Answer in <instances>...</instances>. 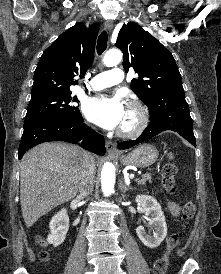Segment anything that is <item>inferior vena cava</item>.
I'll use <instances>...</instances> for the list:
<instances>
[{"label":"inferior vena cava","instance_id":"inferior-vena-cava-1","mask_svg":"<svg viewBox=\"0 0 221 274\" xmlns=\"http://www.w3.org/2000/svg\"><path fill=\"white\" fill-rule=\"evenodd\" d=\"M95 178V162L94 158L89 154L85 158L82 166V173L79 183L80 195L86 197L93 190V182Z\"/></svg>","mask_w":221,"mask_h":274}]
</instances>
